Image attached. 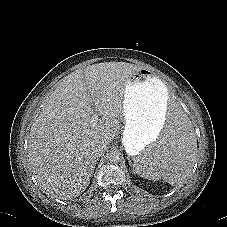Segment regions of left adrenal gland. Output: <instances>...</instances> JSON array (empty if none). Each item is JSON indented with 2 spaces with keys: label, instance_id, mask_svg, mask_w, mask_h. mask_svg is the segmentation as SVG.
Segmentation results:
<instances>
[{
  "label": "left adrenal gland",
  "instance_id": "a2214340",
  "mask_svg": "<svg viewBox=\"0 0 227 227\" xmlns=\"http://www.w3.org/2000/svg\"><path fill=\"white\" fill-rule=\"evenodd\" d=\"M129 164H130V166L132 167V163H131V161H129ZM134 169V168H133Z\"/></svg>",
  "mask_w": 227,
  "mask_h": 227
}]
</instances>
